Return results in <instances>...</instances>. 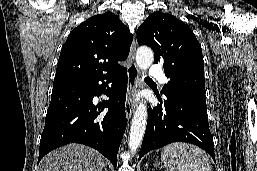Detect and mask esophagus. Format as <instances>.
<instances>
[{"label":"esophagus","instance_id":"esophagus-1","mask_svg":"<svg viewBox=\"0 0 257 171\" xmlns=\"http://www.w3.org/2000/svg\"><path fill=\"white\" fill-rule=\"evenodd\" d=\"M135 53H136V39L133 38L129 53V66L127 68L128 74V90L125 102V112L126 116L129 119L135 108V93L140 86L139 70L135 62Z\"/></svg>","mask_w":257,"mask_h":171}]
</instances>
